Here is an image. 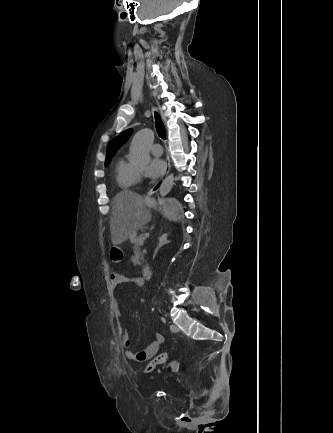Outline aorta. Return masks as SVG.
<instances>
[{"label":"aorta","instance_id":"1","mask_svg":"<svg viewBox=\"0 0 333 433\" xmlns=\"http://www.w3.org/2000/svg\"><path fill=\"white\" fill-rule=\"evenodd\" d=\"M153 138L154 133L151 129H142L135 134L130 144V157L134 165L146 167L149 164L151 160L149 151ZM173 184V175L166 177L159 189L160 196H166L170 192Z\"/></svg>","mask_w":333,"mask_h":433}]
</instances>
